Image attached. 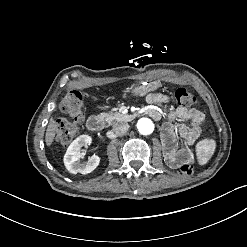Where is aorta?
Here are the masks:
<instances>
[{"label": "aorta", "mask_w": 247, "mask_h": 247, "mask_svg": "<svg viewBox=\"0 0 247 247\" xmlns=\"http://www.w3.org/2000/svg\"><path fill=\"white\" fill-rule=\"evenodd\" d=\"M140 134L150 135L154 131V124L149 118H141L137 123Z\"/></svg>", "instance_id": "obj_1"}]
</instances>
